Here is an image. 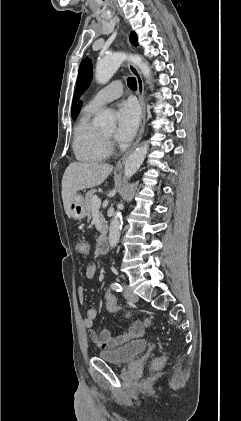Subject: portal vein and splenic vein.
Masks as SVG:
<instances>
[{
  "label": "portal vein and splenic vein",
  "mask_w": 241,
  "mask_h": 421,
  "mask_svg": "<svg viewBox=\"0 0 241 421\" xmlns=\"http://www.w3.org/2000/svg\"><path fill=\"white\" fill-rule=\"evenodd\" d=\"M101 206V199L98 196H94L92 200V207L99 208Z\"/></svg>",
  "instance_id": "18ae733b"
}]
</instances>
